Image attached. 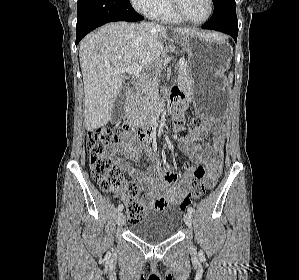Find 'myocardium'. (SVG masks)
Masks as SVG:
<instances>
[{
  "label": "myocardium",
  "mask_w": 299,
  "mask_h": 280,
  "mask_svg": "<svg viewBox=\"0 0 299 280\" xmlns=\"http://www.w3.org/2000/svg\"><path fill=\"white\" fill-rule=\"evenodd\" d=\"M169 4H170L172 11L174 12V14L177 17H179L182 21H185L190 24H195V25L205 23L211 17V15L213 13V7H214L213 0H208L209 8H208L207 15L201 20H192L184 13L182 6H181V0H169Z\"/></svg>",
  "instance_id": "obj_1"
}]
</instances>
